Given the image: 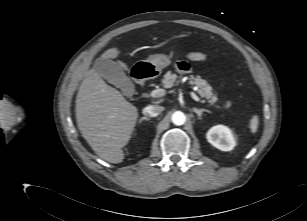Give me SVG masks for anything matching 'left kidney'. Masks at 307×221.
Returning a JSON list of instances; mask_svg holds the SVG:
<instances>
[{
	"mask_svg": "<svg viewBox=\"0 0 307 221\" xmlns=\"http://www.w3.org/2000/svg\"><path fill=\"white\" fill-rule=\"evenodd\" d=\"M207 140L210 144L222 151H230L235 146V140L229 128L216 125L208 130Z\"/></svg>",
	"mask_w": 307,
	"mask_h": 221,
	"instance_id": "5707ae66",
	"label": "left kidney"
}]
</instances>
